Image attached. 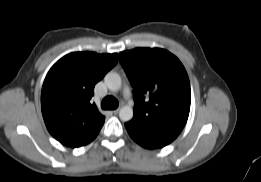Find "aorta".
Wrapping results in <instances>:
<instances>
[{"instance_id": "aorta-1", "label": "aorta", "mask_w": 261, "mask_h": 182, "mask_svg": "<svg viewBox=\"0 0 261 182\" xmlns=\"http://www.w3.org/2000/svg\"><path fill=\"white\" fill-rule=\"evenodd\" d=\"M107 88L111 91H118L121 88V77L115 72H109L104 78ZM133 117V109L130 106H123L119 111V118L122 121H129Z\"/></svg>"}]
</instances>
